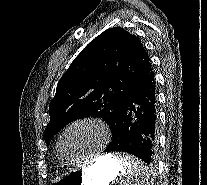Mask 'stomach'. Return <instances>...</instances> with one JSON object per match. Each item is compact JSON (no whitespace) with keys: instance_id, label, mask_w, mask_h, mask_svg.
<instances>
[{"instance_id":"obj_1","label":"stomach","mask_w":207,"mask_h":185,"mask_svg":"<svg viewBox=\"0 0 207 185\" xmlns=\"http://www.w3.org/2000/svg\"><path fill=\"white\" fill-rule=\"evenodd\" d=\"M122 167L116 156L102 155L90 166L57 178L53 185H109L121 174Z\"/></svg>"}]
</instances>
